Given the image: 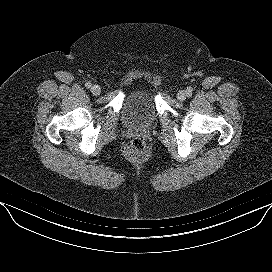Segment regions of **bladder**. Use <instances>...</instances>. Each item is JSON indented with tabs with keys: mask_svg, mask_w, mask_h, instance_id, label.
<instances>
[{
	"mask_svg": "<svg viewBox=\"0 0 272 272\" xmlns=\"http://www.w3.org/2000/svg\"><path fill=\"white\" fill-rule=\"evenodd\" d=\"M123 116L131 126L147 127L151 125L157 117L152 91L146 86L135 88L126 99Z\"/></svg>",
	"mask_w": 272,
	"mask_h": 272,
	"instance_id": "31cf9c89",
	"label": "bladder"
}]
</instances>
